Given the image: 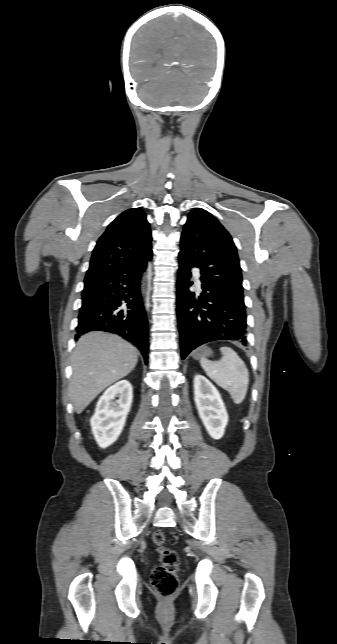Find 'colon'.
<instances>
[{"instance_id": "obj_1", "label": "colon", "mask_w": 337, "mask_h": 644, "mask_svg": "<svg viewBox=\"0 0 337 644\" xmlns=\"http://www.w3.org/2000/svg\"><path fill=\"white\" fill-rule=\"evenodd\" d=\"M152 542L160 553V564L151 573V583L158 595L163 600H168L179 587L178 556L175 551L166 548L162 531L157 530L153 533Z\"/></svg>"}]
</instances>
